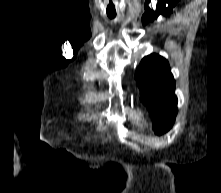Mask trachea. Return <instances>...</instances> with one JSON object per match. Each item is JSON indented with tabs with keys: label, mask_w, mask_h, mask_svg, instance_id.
<instances>
[{
	"label": "trachea",
	"mask_w": 221,
	"mask_h": 193,
	"mask_svg": "<svg viewBox=\"0 0 221 193\" xmlns=\"http://www.w3.org/2000/svg\"><path fill=\"white\" fill-rule=\"evenodd\" d=\"M115 17V15H109V18L113 19Z\"/></svg>",
	"instance_id": "trachea-1"
}]
</instances>
